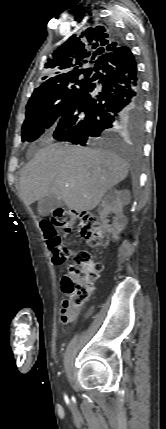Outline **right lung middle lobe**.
<instances>
[{"mask_svg":"<svg viewBox=\"0 0 166 429\" xmlns=\"http://www.w3.org/2000/svg\"><path fill=\"white\" fill-rule=\"evenodd\" d=\"M68 77L45 91L33 93L26 106V119L22 126V140L32 142L38 139L56 123L76 93L88 82L90 74ZM142 131L133 136L140 138Z\"/></svg>","mask_w":166,"mask_h":429,"instance_id":"obj_1","label":"right lung middle lobe"}]
</instances>
